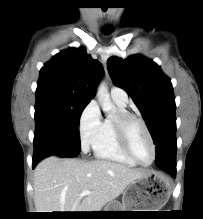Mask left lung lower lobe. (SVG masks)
I'll list each match as a JSON object with an SVG mask.
<instances>
[{
    "label": "left lung lower lobe",
    "mask_w": 203,
    "mask_h": 219,
    "mask_svg": "<svg viewBox=\"0 0 203 219\" xmlns=\"http://www.w3.org/2000/svg\"><path fill=\"white\" fill-rule=\"evenodd\" d=\"M176 154H169L161 161L157 162L156 165L169 173L172 177L176 176Z\"/></svg>",
    "instance_id": "1"
}]
</instances>
